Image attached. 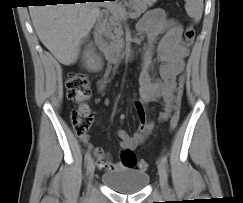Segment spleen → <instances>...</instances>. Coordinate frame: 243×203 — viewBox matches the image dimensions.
Segmentation results:
<instances>
[{
  "label": "spleen",
  "mask_w": 243,
  "mask_h": 203,
  "mask_svg": "<svg viewBox=\"0 0 243 203\" xmlns=\"http://www.w3.org/2000/svg\"><path fill=\"white\" fill-rule=\"evenodd\" d=\"M185 10L195 23L201 20L203 14V0H185Z\"/></svg>",
  "instance_id": "3e777b00"
}]
</instances>
